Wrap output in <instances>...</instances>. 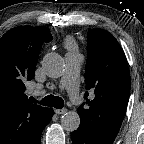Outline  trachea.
Masks as SVG:
<instances>
[{"label":"trachea","instance_id":"3493384b","mask_svg":"<svg viewBox=\"0 0 144 144\" xmlns=\"http://www.w3.org/2000/svg\"><path fill=\"white\" fill-rule=\"evenodd\" d=\"M32 102H36L34 98H30ZM41 105L49 106V107H55L57 109H61L64 106V101L61 97L54 96V95H48L45 98H43L40 102Z\"/></svg>","mask_w":144,"mask_h":144}]
</instances>
